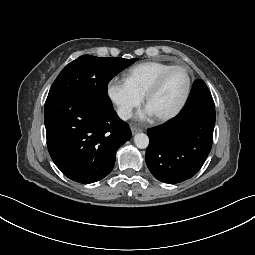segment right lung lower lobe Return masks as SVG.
Wrapping results in <instances>:
<instances>
[{
  "label": "right lung lower lobe",
  "mask_w": 255,
  "mask_h": 255,
  "mask_svg": "<svg viewBox=\"0 0 255 255\" xmlns=\"http://www.w3.org/2000/svg\"><path fill=\"white\" fill-rule=\"evenodd\" d=\"M47 146L60 171L89 184L114 167L117 150L131 138L116 112L76 94L48 95L44 107Z\"/></svg>",
  "instance_id": "98d812e1"
}]
</instances>
